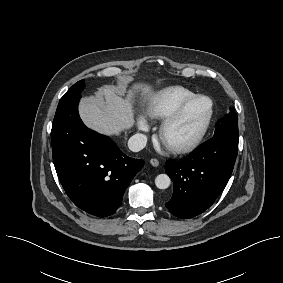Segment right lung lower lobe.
I'll return each mask as SVG.
<instances>
[{
  "mask_svg": "<svg viewBox=\"0 0 283 283\" xmlns=\"http://www.w3.org/2000/svg\"><path fill=\"white\" fill-rule=\"evenodd\" d=\"M80 93L58 104L52 124L53 161L72 202L89 214L106 217L121 205L123 194L143 167L107 136L87 128L78 113Z\"/></svg>",
  "mask_w": 283,
  "mask_h": 283,
  "instance_id": "obj_1",
  "label": "right lung lower lobe"
}]
</instances>
